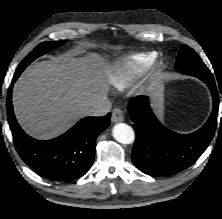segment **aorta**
<instances>
[{
	"mask_svg": "<svg viewBox=\"0 0 222 219\" xmlns=\"http://www.w3.org/2000/svg\"><path fill=\"white\" fill-rule=\"evenodd\" d=\"M112 134L114 139L122 144H131L135 139V133L132 127L125 123L114 125Z\"/></svg>",
	"mask_w": 222,
	"mask_h": 219,
	"instance_id": "aorta-1",
	"label": "aorta"
}]
</instances>
